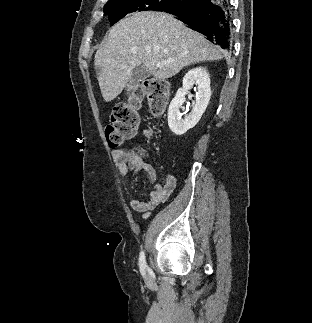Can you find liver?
<instances>
[{"label":"liver","mask_w":312,"mask_h":323,"mask_svg":"<svg viewBox=\"0 0 312 323\" xmlns=\"http://www.w3.org/2000/svg\"><path fill=\"white\" fill-rule=\"evenodd\" d=\"M206 36L186 28L165 12H134L113 26L95 54L97 80L105 102H112L129 82L133 68L146 66L157 80H167L185 66L222 60ZM156 68L158 62H169Z\"/></svg>","instance_id":"6515ba94"}]
</instances>
